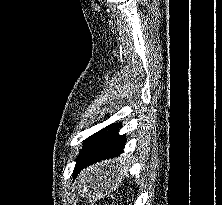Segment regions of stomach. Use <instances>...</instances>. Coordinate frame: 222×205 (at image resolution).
I'll list each match as a JSON object with an SVG mask.
<instances>
[{
  "mask_svg": "<svg viewBox=\"0 0 222 205\" xmlns=\"http://www.w3.org/2000/svg\"><path fill=\"white\" fill-rule=\"evenodd\" d=\"M125 173L120 167L114 165L92 168L88 172V179L82 185V195H85L89 200L109 195L112 190L118 187Z\"/></svg>",
  "mask_w": 222,
  "mask_h": 205,
  "instance_id": "0dacf381",
  "label": "stomach"
}]
</instances>
